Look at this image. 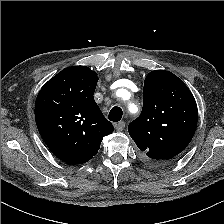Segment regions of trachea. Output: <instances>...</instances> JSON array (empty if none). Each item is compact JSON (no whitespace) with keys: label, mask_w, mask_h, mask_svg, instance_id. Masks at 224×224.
Instances as JSON below:
<instances>
[{"label":"trachea","mask_w":224,"mask_h":224,"mask_svg":"<svg viewBox=\"0 0 224 224\" xmlns=\"http://www.w3.org/2000/svg\"><path fill=\"white\" fill-rule=\"evenodd\" d=\"M123 111L120 107H113L109 112V120L113 122H118L122 118Z\"/></svg>","instance_id":"1"}]
</instances>
